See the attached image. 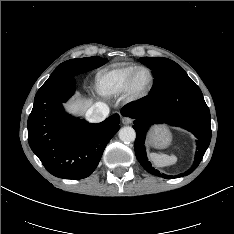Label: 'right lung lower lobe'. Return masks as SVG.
<instances>
[{
    "label": "right lung lower lobe",
    "instance_id": "1",
    "mask_svg": "<svg viewBox=\"0 0 234 234\" xmlns=\"http://www.w3.org/2000/svg\"><path fill=\"white\" fill-rule=\"evenodd\" d=\"M72 73L55 70L38 90L28 118V142L52 175L83 179L97 167L110 139L119 130L120 116L91 124L68 115L62 106L75 91Z\"/></svg>",
    "mask_w": 234,
    "mask_h": 234
}]
</instances>
